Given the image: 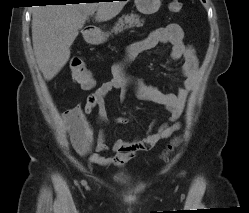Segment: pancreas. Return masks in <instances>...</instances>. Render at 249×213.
Returning <instances> with one entry per match:
<instances>
[{
	"label": "pancreas",
	"instance_id": "pancreas-1",
	"mask_svg": "<svg viewBox=\"0 0 249 213\" xmlns=\"http://www.w3.org/2000/svg\"><path fill=\"white\" fill-rule=\"evenodd\" d=\"M143 20H140V17L136 14H127L123 15L118 21L115 23V26L112 29V32L115 34L122 32L125 29L133 28V27H141L143 25Z\"/></svg>",
	"mask_w": 249,
	"mask_h": 213
}]
</instances>
